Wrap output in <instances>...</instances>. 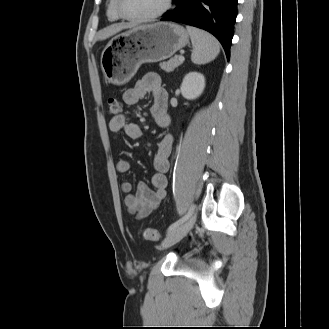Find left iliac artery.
I'll return each instance as SVG.
<instances>
[{
    "label": "left iliac artery",
    "instance_id": "obj_1",
    "mask_svg": "<svg viewBox=\"0 0 329 329\" xmlns=\"http://www.w3.org/2000/svg\"><path fill=\"white\" fill-rule=\"evenodd\" d=\"M194 205H192L188 211V213L183 216L182 218H180L179 220H177L176 222H174L173 224H171L168 229H167V232H170L172 231L173 229H175L176 227H178L179 225L183 224L190 216L191 214L193 213L194 211Z\"/></svg>",
    "mask_w": 329,
    "mask_h": 329
}]
</instances>
